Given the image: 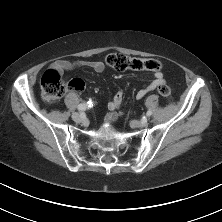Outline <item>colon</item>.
I'll return each instance as SVG.
<instances>
[{
    "mask_svg": "<svg viewBox=\"0 0 222 222\" xmlns=\"http://www.w3.org/2000/svg\"><path fill=\"white\" fill-rule=\"evenodd\" d=\"M104 62L107 66L120 71H158L161 66L159 61L153 58L130 57L120 53L106 55ZM40 84L42 98L48 103L59 99L71 88L70 83L55 69L47 70L41 77ZM157 89L162 96L170 97L171 92L166 85H161Z\"/></svg>",
    "mask_w": 222,
    "mask_h": 222,
    "instance_id": "colon-1",
    "label": "colon"
}]
</instances>
